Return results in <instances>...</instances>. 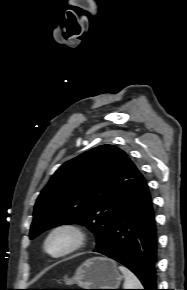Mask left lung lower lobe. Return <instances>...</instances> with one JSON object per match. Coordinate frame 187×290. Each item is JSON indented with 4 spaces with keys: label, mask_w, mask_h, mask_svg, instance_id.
I'll return each mask as SVG.
<instances>
[{
    "label": "left lung lower lobe",
    "mask_w": 187,
    "mask_h": 290,
    "mask_svg": "<svg viewBox=\"0 0 187 290\" xmlns=\"http://www.w3.org/2000/svg\"><path fill=\"white\" fill-rule=\"evenodd\" d=\"M94 252L106 255L130 269L140 279L144 290H158L157 230L145 180L125 200L106 241Z\"/></svg>",
    "instance_id": "0a47b994"
}]
</instances>
